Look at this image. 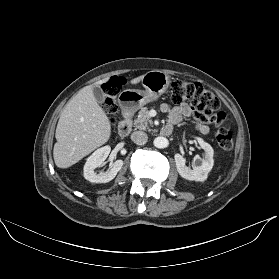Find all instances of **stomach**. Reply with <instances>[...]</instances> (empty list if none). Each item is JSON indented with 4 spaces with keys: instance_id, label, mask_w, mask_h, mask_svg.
<instances>
[{
    "instance_id": "0dacf381",
    "label": "stomach",
    "mask_w": 279,
    "mask_h": 279,
    "mask_svg": "<svg viewBox=\"0 0 279 279\" xmlns=\"http://www.w3.org/2000/svg\"><path fill=\"white\" fill-rule=\"evenodd\" d=\"M141 81L144 90L127 89L120 93L118 102L124 112H136L147 103L157 100L170 86V77L160 70L149 71Z\"/></svg>"
}]
</instances>
